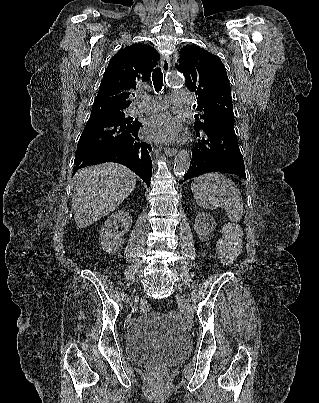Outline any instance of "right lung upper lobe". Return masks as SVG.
Wrapping results in <instances>:
<instances>
[{"label": "right lung upper lobe", "instance_id": "1", "mask_svg": "<svg viewBox=\"0 0 319 403\" xmlns=\"http://www.w3.org/2000/svg\"><path fill=\"white\" fill-rule=\"evenodd\" d=\"M158 59L157 51L146 44L119 50L108 64L93 105L129 107L131 92L150 79Z\"/></svg>", "mask_w": 319, "mask_h": 403}]
</instances>
